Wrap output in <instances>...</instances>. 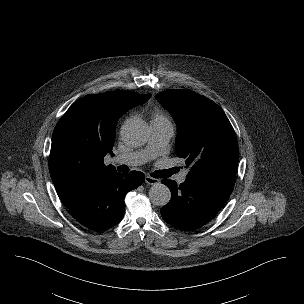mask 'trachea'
Returning a JSON list of instances; mask_svg holds the SVG:
<instances>
[{
	"mask_svg": "<svg viewBox=\"0 0 304 304\" xmlns=\"http://www.w3.org/2000/svg\"><path fill=\"white\" fill-rule=\"evenodd\" d=\"M175 172H177V169L176 170H173V173H175ZM165 176H167V172H162V173H160V175L159 174H154L153 175V177H156V178H163V177H165Z\"/></svg>",
	"mask_w": 304,
	"mask_h": 304,
	"instance_id": "3493384b",
	"label": "trachea"
}]
</instances>
